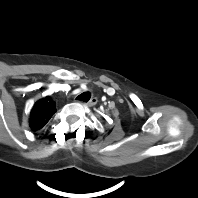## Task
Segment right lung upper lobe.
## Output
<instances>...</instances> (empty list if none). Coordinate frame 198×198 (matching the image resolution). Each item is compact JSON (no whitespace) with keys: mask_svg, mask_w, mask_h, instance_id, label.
I'll return each instance as SVG.
<instances>
[{"mask_svg":"<svg viewBox=\"0 0 198 198\" xmlns=\"http://www.w3.org/2000/svg\"><path fill=\"white\" fill-rule=\"evenodd\" d=\"M55 112L56 104L50 96L40 99L34 104L31 110L29 119L30 128L33 131L40 130L47 124Z\"/></svg>","mask_w":198,"mask_h":198,"instance_id":"obj_1","label":"right lung upper lobe"}]
</instances>
